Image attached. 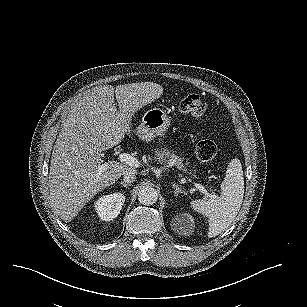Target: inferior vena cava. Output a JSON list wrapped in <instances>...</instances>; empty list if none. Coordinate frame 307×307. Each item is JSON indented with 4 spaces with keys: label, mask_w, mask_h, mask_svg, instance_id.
<instances>
[{
    "label": "inferior vena cava",
    "mask_w": 307,
    "mask_h": 307,
    "mask_svg": "<svg viewBox=\"0 0 307 307\" xmlns=\"http://www.w3.org/2000/svg\"><path fill=\"white\" fill-rule=\"evenodd\" d=\"M123 180L127 184L133 183L136 180V175L133 172H126L123 176Z\"/></svg>",
    "instance_id": "inferior-vena-cava-1"
}]
</instances>
